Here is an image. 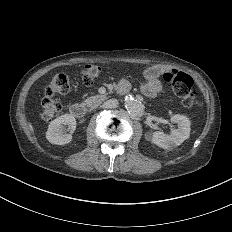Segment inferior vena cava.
<instances>
[{
    "label": "inferior vena cava",
    "instance_id": "obj_1",
    "mask_svg": "<svg viewBox=\"0 0 232 232\" xmlns=\"http://www.w3.org/2000/svg\"><path fill=\"white\" fill-rule=\"evenodd\" d=\"M118 106V101L116 99H109L103 103L104 108H115Z\"/></svg>",
    "mask_w": 232,
    "mask_h": 232
}]
</instances>
